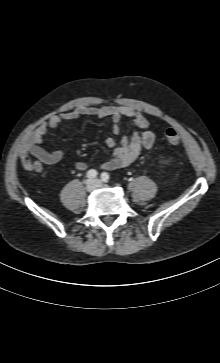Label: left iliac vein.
Masks as SVG:
<instances>
[{"instance_id": "obj_1", "label": "left iliac vein", "mask_w": 220, "mask_h": 363, "mask_svg": "<svg viewBox=\"0 0 220 363\" xmlns=\"http://www.w3.org/2000/svg\"><path fill=\"white\" fill-rule=\"evenodd\" d=\"M95 182H96L97 186H102L101 181H99V180L95 179Z\"/></svg>"}]
</instances>
